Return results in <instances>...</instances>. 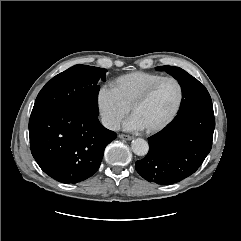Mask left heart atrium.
<instances>
[{
	"instance_id": "1",
	"label": "left heart atrium",
	"mask_w": 241,
	"mask_h": 241,
	"mask_svg": "<svg viewBox=\"0 0 241 241\" xmlns=\"http://www.w3.org/2000/svg\"><path fill=\"white\" fill-rule=\"evenodd\" d=\"M124 128L126 130L131 131H140L144 129V126L141 124V122L133 115L130 117L125 123Z\"/></svg>"
}]
</instances>
